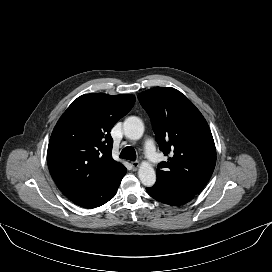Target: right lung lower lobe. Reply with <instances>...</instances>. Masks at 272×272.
I'll use <instances>...</instances> for the list:
<instances>
[{
  "label": "right lung lower lobe",
  "mask_w": 272,
  "mask_h": 272,
  "mask_svg": "<svg viewBox=\"0 0 272 272\" xmlns=\"http://www.w3.org/2000/svg\"><path fill=\"white\" fill-rule=\"evenodd\" d=\"M127 169L122 165L98 189L80 198L72 199L76 205L92 209L99 207L114 197L126 174Z\"/></svg>",
  "instance_id": "right-lung-lower-lobe-1"
}]
</instances>
